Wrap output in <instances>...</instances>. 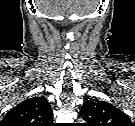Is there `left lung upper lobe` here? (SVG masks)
I'll list each match as a JSON object with an SVG mask.
<instances>
[{
  "label": "left lung upper lobe",
  "instance_id": "left-lung-upper-lobe-1",
  "mask_svg": "<svg viewBox=\"0 0 135 126\" xmlns=\"http://www.w3.org/2000/svg\"><path fill=\"white\" fill-rule=\"evenodd\" d=\"M79 117L87 123L86 126H129L128 116L112 104L90 99L84 102Z\"/></svg>",
  "mask_w": 135,
  "mask_h": 126
}]
</instances>
